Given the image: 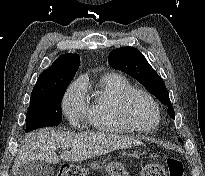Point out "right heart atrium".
Here are the masks:
<instances>
[{
  "mask_svg": "<svg viewBox=\"0 0 205 176\" xmlns=\"http://www.w3.org/2000/svg\"><path fill=\"white\" fill-rule=\"evenodd\" d=\"M62 110L72 124H78L87 114L85 86L82 79L73 82L62 99Z\"/></svg>",
  "mask_w": 205,
  "mask_h": 176,
  "instance_id": "d8ad5b80",
  "label": "right heart atrium"
}]
</instances>
